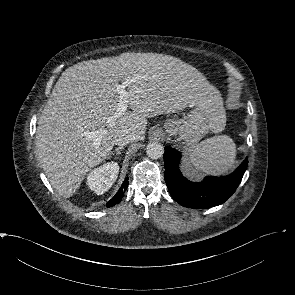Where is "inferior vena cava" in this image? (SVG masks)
Masks as SVG:
<instances>
[{
    "label": "inferior vena cava",
    "mask_w": 295,
    "mask_h": 295,
    "mask_svg": "<svg viewBox=\"0 0 295 295\" xmlns=\"http://www.w3.org/2000/svg\"><path fill=\"white\" fill-rule=\"evenodd\" d=\"M135 140H138V136L135 133L127 132L117 137L114 142L118 146H125Z\"/></svg>",
    "instance_id": "1"
}]
</instances>
